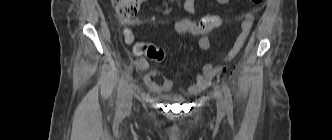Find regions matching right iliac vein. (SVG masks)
I'll use <instances>...</instances> for the list:
<instances>
[{
	"label": "right iliac vein",
	"mask_w": 332,
	"mask_h": 140,
	"mask_svg": "<svg viewBox=\"0 0 332 140\" xmlns=\"http://www.w3.org/2000/svg\"><path fill=\"white\" fill-rule=\"evenodd\" d=\"M132 94L133 90L130 84H128L124 90L123 98H122V110L124 112H128L132 106Z\"/></svg>",
	"instance_id": "obj_1"
}]
</instances>
